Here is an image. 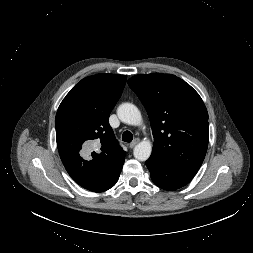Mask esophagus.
I'll return each mask as SVG.
<instances>
[{
  "instance_id": "obj_1",
  "label": "esophagus",
  "mask_w": 253,
  "mask_h": 253,
  "mask_svg": "<svg viewBox=\"0 0 253 253\" xmlns=\"http://www.w3.org/2000/svg\"><path fill=\"white\" fill-rule=\"evenodd\" d=\"M138 143H139V139L136 138L135 140H133V141L130 143L129 147L132 149V148H134Z\"/></svg>"
}]
</instances>
